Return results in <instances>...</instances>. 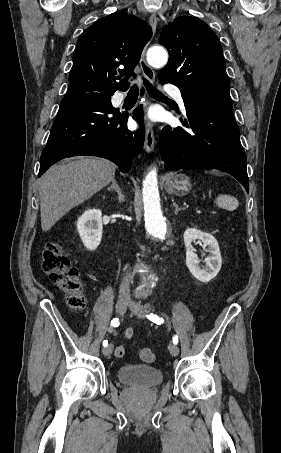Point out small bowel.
I'll use <instances>...</instances> for the list:
<instances>
[{
    "label": "small bowel",
    "mask_w": 281,
    "mask_h": 453,
    "mask_svg": "<svg viewBox=\"0 0 281 453\" xmlns=\"http://www.w3.org/2000/svg\"><path fill=\"white\" fill-rule=\"evenodd\" d=\"M133 334H134L133 330L131 328H128L124 332V337L126 339H130V338H132ZM124 351H125V347L123 345L117 346L114 350L115 355H117V356L121 355Z\"/></svg>",
    "instance_id": "small-bowel-1"
}]
</instances>
